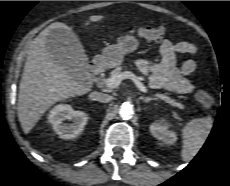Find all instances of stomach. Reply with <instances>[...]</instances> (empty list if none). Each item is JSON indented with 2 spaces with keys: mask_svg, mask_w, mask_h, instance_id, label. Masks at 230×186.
<instances>
[{
  "mask_svg": "<svg viewBox=\"0 0 230 186\" xmlns=\"http://www.w3.org/2000/svg\"><path fill=\"white\" fill-rule=\"evenodd\" d=\"M139 46V41L134 36L124 35L117 39V43L103 49L97 60L107 68L119 66L128 53L134 52Z\"/></svg>",
  "mask_w": 230,
  "mask_h": 186,
  "instance_id": "stomach-1",
  "label": "stomach"
}]
</instances>
